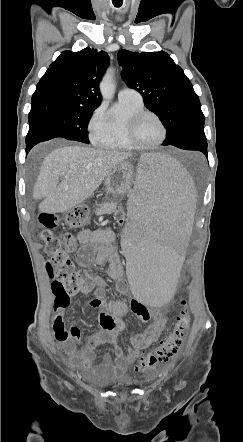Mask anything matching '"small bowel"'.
<instances>
[{
  "mask_svg": "<svg viewBox=\"0 0 243 442\" xmlns=\"http://www.w3.org/2000/svg\"><path fill=\"white\" fill-rule=\"evenodd\" d=\"M77 239L82 244V248L76 254L78 265L108 263V275L116 282V289L121 294L128 293L130 286L125 280L124 267L113 246L114 231L109 227L97 230L84 229L77 233ZM104 283V280L98 279V285L92 292L93 299L85 305L98 310V321L101 326V332L88 339L85 349L81 351L76 349L81 339V331L76 325L66 326L64 319L66 308L55 309L52 325L67 363L73 368L82 370L85 378L95 383H105L122 376L140 353L158 339L166 325L159 309L149 313L147 307H141L140 302L132 300L129 306L126 302L108 299ZM130 309L142 322L151 320V323L143 332L131 336V347L124 351L118 335L125 326L123 317ZM105 343L112 345L114 356L105 353L98 358L95 350Z\"/></svg>",
  "mask_w": 243,
  "mask_h": 442,
  "instance_id": "obj_1",
  "label": "small bowel"
}]
</instances>
